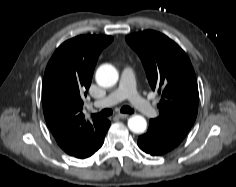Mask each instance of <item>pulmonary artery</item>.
Instances as JSON below:
<instances>
[{"label": "pulmonary artery", "instance_id": "e3ab8cb5", "mask_svg": "<svg viewBox=\"0 0 236 187\" xmlns=\"http://www.w3.org/2000/svg\"><path fill=\"white\" fill-rule=\"evenodd\" d=\"M128 99L133 107L140 111L144 116L152 118L156 116V108L152 103L142 98L136 90V74L132 67L127 66L123 69L121 81L116 90L101 100L95 102L96 107H109Z\"/></svg>", "mask_w": 236, "mask_h": 187}]
</instances>
